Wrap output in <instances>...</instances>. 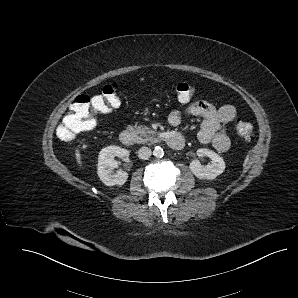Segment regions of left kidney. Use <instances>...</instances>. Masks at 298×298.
Returning <instances> with one entry per match:
<instances>
[{
    "instance_id": "left-kidney-1",
    "label": "left kidney",
    "mask_w": 298,
    "mask_h": 298,
    "mask_svg": "<svg viewBox=\"0 0 298 298\" xmlns=\"http://www.w3.org/2000/svg\"><path fill=\"white\" fill-rule=\"evenodd\" d=\"M196 155L198 157L207 156L211 159V163L206 166L202 165L198 159L190 162V170L198 178L214 179L224 171V160L216 152L207 148H198Z\"/></svg>"
}]
</instances>
